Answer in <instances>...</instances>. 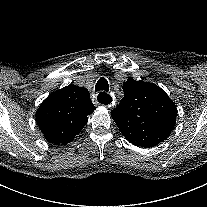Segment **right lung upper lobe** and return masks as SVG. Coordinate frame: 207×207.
I'll use <instances>...</instances> for the list:
<instances>
[{"instance_id": "obj_1", "label": "right lung upper lobe", "mask_w": 207, "mask_h": 207, "mask_svg": "<svg viewBox=\"0 0 207 207\" xmlns=\"http://www.w3.org/2000/svg\"><path fill=\"white\" fill-rule=\"evenodd\" d=\"M94 109L89 91L70 85L51 93L42 102L36 122L50 143L65 145L79 134Z\"/></svg>"}]
</instances>
